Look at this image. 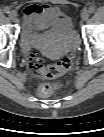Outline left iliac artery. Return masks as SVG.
Returning <instances> with one entry per match:
<instances>
[{"mask_svg":"<svg viewBox=\"0 0 104 137\" xmlns=\"http://www.w3.org/2000/svg\"><path fill=\"white\" fill-rule=\"evenodd\" d=\"M88 11H89L90 13H94L95 8H94L93 6H90L89 9H88Z\"/></svg>","mask_w":104,"mask_h":137,"instance_id":"obj_1","label":"left iliac artery"}]
</instances>
